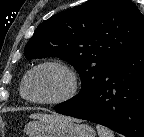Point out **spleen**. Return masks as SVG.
Segmentation results:
<instances>
[{
    "mask_svg": "<svg viewBox=\"0 0 144 137\" xmlns=\"http://www.w3.org/2000/svg\"><path fill=\"white\" fill-rule=\"evenodd\" d=\"M96 129L99 137H114L113 132L102 125H97Z\"/></svg>",
    "mask_w": 144,
    "mask_h": 137,
    "instance_id": "3e777b00",
    "label": "spleen"
}]
</instances>
